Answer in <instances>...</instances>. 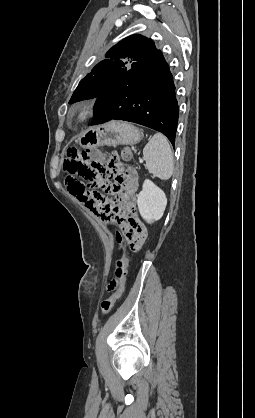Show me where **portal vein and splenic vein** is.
Listing matches in <instances>:
<instances>
[{
	"instance_id": "portal-vein-and-splenic-vein-1",
	"label": "portal vein and splenic vein",
	"mask_w": 255,
	"mask_h": 418,
	"mask_svg": "<svg viewBox=\"0 0 255 418\" xmlns=\"http://www.w3.org/2000/svg\"><path fill=\"white\" fill-rule=\"evenodd\" d=\"M143 161H144L143 159H139V162H140V163H143Z\"/></svg>"
}]
</instances>
